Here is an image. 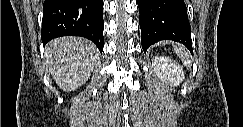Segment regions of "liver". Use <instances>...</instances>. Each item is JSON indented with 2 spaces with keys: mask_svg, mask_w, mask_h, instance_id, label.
I'll return each instance as SVG.
<instances>
[{
  "mask_svg": "<svg viewBox=\"0 0 243 127\" xmlns=\"http://www.w3.org/2000/svg\"><path fill=\"white\" fill-rule=\"evenodd\" d=\"M98 56L96 46L81 37L57 38L45 49L48 70L65 92L76 90L90 78Z\"/></svg>",
  "mask_w": 243,
  "mask_h": 127,
  "instance_id": "1",
  "label": "liver"
}]
</instances>
